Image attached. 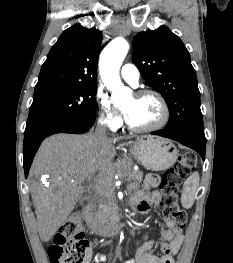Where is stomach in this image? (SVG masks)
Here are the masks:
<instances>
[{
	"instance_id": "1",
	"label": "stomach",
	"mask_w": 233,
	"mask_h": 263,
	"mask_svg": "<svg viewBox=\"0 0 233 263\" xmlns=\"http://www.w3.org/2000/svg\"><path fill=\"white\" fill-rule=\"evenodd\" d=\"M131 155L146 169L161 171L171 167L178 156L176 147L168 140L155 136H140L129 142Z\"/></svg>"
}]
</instances>
